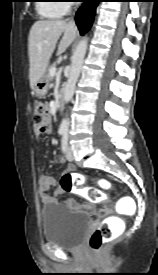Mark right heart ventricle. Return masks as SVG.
<instances>
[{"label": "right heart ventricle", "instance_id": "e07e8e85", "mask_svg": "<svg viewBox=\"0 0 158 275\" xmlns=\"http://www.w3.org/2000/svg\"><path fill=\"white\" fill-rule=\"evenodd\" d=\"M43 3L38 4V11L40 14L47 18H59L64 15V7L56 1H42Z\"/></svg>", "mask_w": 158, "mask_h": 275}]
</instances>
